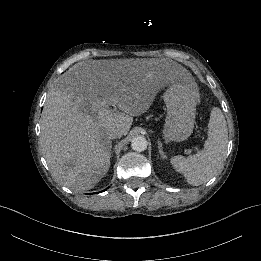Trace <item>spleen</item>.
Instances as JSON below:
<instances>
[{
	"instance_id": "obj_1",
	"label": "spleen",
	"mask_w": 261,
	"mask_h": 261,
	"mask_svg": "<svg viewBox=\"0 0 261 261\" xmlns=\"http://www.w3.org/2000/svg\"><path fill=\"white\" fill-rule=\"evenodd\" d=\"M228 128L220 108L214 107L208 124V138L204 150L185 158L177 155L171 158L173 168L184 175L192 186L209 181L223 168L227 154Z\"/></svg>"
}]
</instances>
